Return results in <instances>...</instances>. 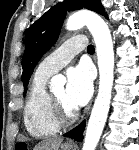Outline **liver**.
Listing matches in <instances>:
<instances>
[{"instance_id": "1", "label": "liver", "mask_w": 139, "mask_h": 150, "mask_svg": "<svg viewBox=\"0 0 139 150\" xmlns=\"http://www.w3.org/2000/svg\"><path fill=\"white\" fill-rule=\"evenodd\" d=\"M62 138H49L39 142L33 150H59Z\"/></svg>"}]
</instances>
